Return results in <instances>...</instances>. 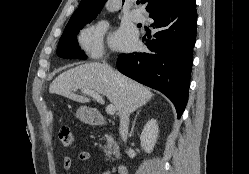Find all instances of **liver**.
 I'll return each mask as SVG.
<instances>
[{
	"label": "liver",
	"instance_id": "liver-1",
	"mask_svg": "<svg viewBox=\"0 0 249 174\" xmlns=\"http://www.w3.org/2000/svg\"><path fill=\"white\" fill-rule=\"evenodd\" d=\"M78 89L106 96L118 112L124 103L129 112H134L154 96L149 88L99 62L85 63L63 72L50 84L49 92L79 103H88V97L75 93Z\"/></svg>",
	"mask_w": 249,
	"mask_h": 174
}]
</instances>
